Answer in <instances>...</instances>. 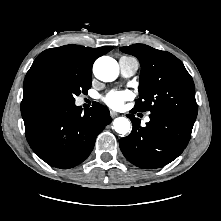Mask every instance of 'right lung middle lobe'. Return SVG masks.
<instances>
[{
	"instance_id": "dd1d6c3e",
	"label": "right lung middle lobe",
	"mask_w": 221,
	"mask_h": 221,
	"mask_svg": "<svg viewBox=\"0 0 221 221\" xmlns=\"http://www.w3.org/2000/svg\"><path fill=\"white\" fill-rule=\"evenodd\" d=\"M92 74L72 70L54 71L44 76L37 85L42 102L75 103V96L91 87Z\"/></svg>"
}]
</instances>
